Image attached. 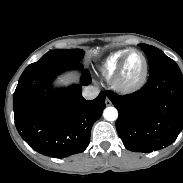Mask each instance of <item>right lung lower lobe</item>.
Wrapping results in <instances>:
<instances>
[{
    "label": "right lung lower lobe",
    "mask_w": 183,
    "mask_h": 183,
    "mask_svg": "<svg viewBox=\"0 0 183 183\" xmlns=\"http://www.w3.org/2000/svg\"><path fill=\"white\" fill-rule=\"evenodd\" d=\"M70 69H82V64L24 71L13 95L20 136L33 150L55 158L83 152L89 145L92 126L105 108L103 91L91 101L82 97L78 84L51 92L54 78ZM90 82V73L84 71L81 84Z\"/></svg>",
    "instance_id": "1"
}]
</instances>
